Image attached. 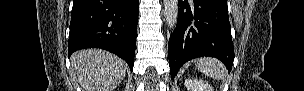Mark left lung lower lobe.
I'll return each mask as SVG.
<instances>
[{"label": "left lung lower lobe", "instance_id": "left-lung-lower-lobe-1", "mask_svg": "<svg viewBox=\"0 0 304 91\" xmlns=\"http://www.w3.org/2000/svg\"><path fill=\"white\" fill-rule=\"evenodd\" d=\"M211 56L230 71L234 61L226 0H179L176 28L170 36L168 57L171 78L187 61Z\"/></svg>", "mask_w": 304, "mask_h": 91}]
</instances>
